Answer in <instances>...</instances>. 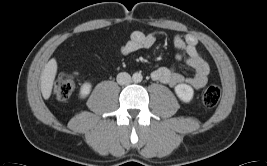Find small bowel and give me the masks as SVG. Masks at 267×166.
I'll list each match as a JSON object with an SVG mask.
<instances>
[{"label": "small bowel", "mask_w": 267, "mask_h": 166, "mask_svg": "<svg viewBox=\"0 0 267 166\" xmlns=\"http://www.w3.org/2000/svg\"><path fill=\"white\" fill-rule=\"evenodd\" d=\"M156 42L153 33L134 31L129 40L121 47L123 55L132 54L140 49L151 48ZM173 43L176 48L175 59L183 61L194 70V74L185 77L176 67H160L152 72V78L164 84L177 86L187 83L194 89H199L205 85L209 74V65L201 55L197 47V40L191 34L175 35Z\"/></svg>", "instance_id": "small-bowel-1"}]
</instances>
